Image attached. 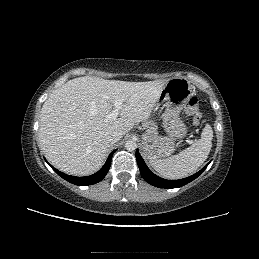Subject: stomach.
Masks as SVG:
<instances>
[{
	"label": "stomach",
	"mask_w": 259,
	"mask_h": 259,
	"mask_svg": "<svg viewBox=\"0 0 259 259\" xmlns=\"http://www.w3.org/2000/svg\"><path fill=\"white\" fill-rule=\"evenodd\" d=\"M194 94L193 86L185 78H172L164 85L159 104H163L162 126L167 132L164 137L153 133L143 135V152L148 160H159L173 153L175 142L187 134V126L180 117L181 111Z\"/></svg>",
	"instance_id": "stomach-1"
}]
</instances>
